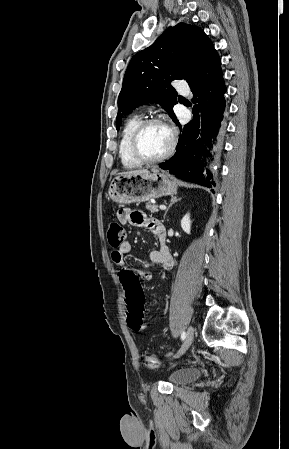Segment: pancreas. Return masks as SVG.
Returning <instances> with one entry per match:
<instances>
[{"label":"pancreas","mask_w":289,"mask_h":449,"mask_svg":"<svg viewBox=\"0 0 289 449\" xmlns=\"http://www.w3.org/2000/svg\"><path fill=\"white\" fill-rule=\"evenodd\" d=\"M146 209L149 210L151 213L159 211L158 206L155 204H151L150 202L146 204Z\"/></svg>","instance_id":"cf45deb5"}]
</instances>
